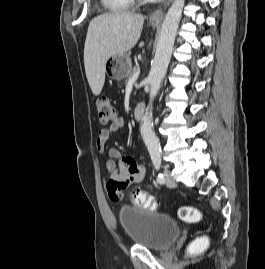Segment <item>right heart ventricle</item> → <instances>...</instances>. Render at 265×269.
I'll return each instance as SVG.
<instances>
[{
	"label": "right heart ventricle",
	"instance_id": "obj_1",
	"mask_svg": "<svg viewBox=\"0 0 265 269\" xmlns=\"http://www.w3.org/2000/svg\"><path fill=\"white\" fill-rule=\"evenodd\" d=\"M106 9L111 12L127 11L132 8L134 0H101Z\"/></svg>",
	"mask_w": 265,
	"mask_h": 269
}]
</instances>
